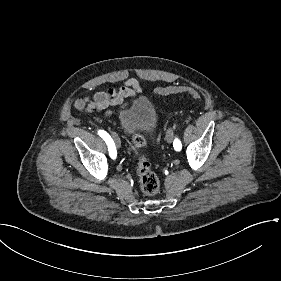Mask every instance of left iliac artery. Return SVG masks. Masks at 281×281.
<instances>
[{
	"instance_id": "44dca946",
	"label": "left iliac artery",
	"mask_w": 281,
	"mask_h": 281,
	"mask_svg": "<svg viewBox=\"0 0 281 281\" xmlns=\"http://www.w3.org/2000/svg\"><path fill=\"white\" fill-rule=\"evenodd\" d=\"M173 145H174V149L176 151H180L181 148H182V144H181L180 140L177 139V138L174 140V144Z\"/></svg>"
}]
</instances>
